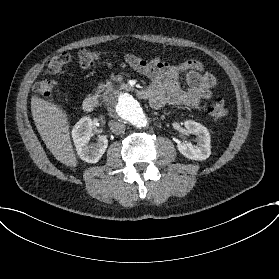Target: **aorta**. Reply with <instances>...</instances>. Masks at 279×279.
<instances>
[{
	"label": "aorta",
	"instance_id": "1",
	"mask_svg": "<svg viewBox=\"0 0 279 279\" xmlns=\"http://www.w3.org/2000/svg\"><path fill=\"white\" fill-rule=\"evenodd\" d=\"M111 114L124 122H129L136 127L147 124L146 116L139 102L129 93L117 94L109 104Z\"/></svg>",
	"mask_w": 279,
	"mask_h": 279
}]
</instances>
